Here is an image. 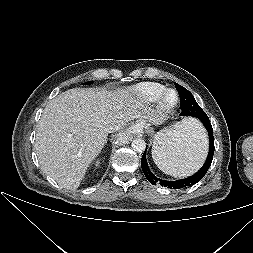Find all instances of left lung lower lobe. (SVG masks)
<instances>
[{"instance_id":"obj_1","label":"left lung lower lobe","mask_w":253,"mask_h":253,"mask_svg":"<svg viewBox=\"0 0 253 253\" xmlns=\"http://www.w3.org/2000/svg\"><path fill=\"white\" fill-rule=\"evenodd\" d=\"M196 118H198L205 126V128L208 131V136H209V153L206 159V162L204 163V165L202 166V168L195 173L194 175L185 178V179H181L178 181H166V180H162L157 178L149 169V166L147 164V160H146V150L144 151V154L142 156L141 159V168L143 170V173L145 175V177L147 178V180L153 184H160L161 186L170 188V189H180V188H185L188 186H192L194 184H196L199 180H201L204 175L207 173L212 159H213V155H214V136H213V132H212V125L209 121L208 116L206 115V113L203 110H200L199 112H196ZM147 149V146H146Z\"/></svg>"}]
</instances>
